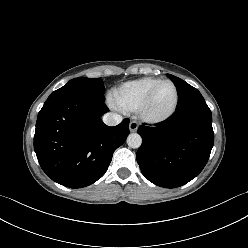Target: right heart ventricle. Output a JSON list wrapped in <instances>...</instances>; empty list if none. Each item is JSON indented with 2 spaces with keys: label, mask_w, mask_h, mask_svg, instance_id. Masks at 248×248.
I'll return each mask as SVG.
<instances>
[{
  "label": "right heart ventricle",
  "mask_w": 248,
  "mask_h": 248,
  "mask_svg": "<svg viewBox=\"0 0 248 248\" xmlns=\"http://www.w3.org/2000/svg\"><path fill=\"white\" fill-rule=\"evenodd\" d=\"M159 81V78L143 77L125 82L113 91V101L123 111H136L146 93Z\"/></svg>",
  "instance_id": "right-heart-ventricle-1"
}]
</instances>
